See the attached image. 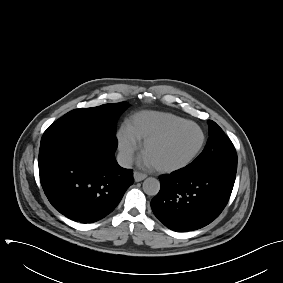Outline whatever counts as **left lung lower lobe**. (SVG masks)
<instances>
[{
  "instance_id": "0a47b994",
  "label": "left lung lower lobe",
  "mask_w": 283,
  "mask_h": 283,
  "mask_svg": "<svg viewBox=\"0 0 283 283\" xmlns=\"http://www.w3.org/2000/svg\"><path fill=\"white\" fill-rule=\"evenodd\" d=\"M236 171L188 166L161 175V188L152 199L155 216L169 229L186 232L202 228L225 208Z\"/></svg>"
}]
</instances>
